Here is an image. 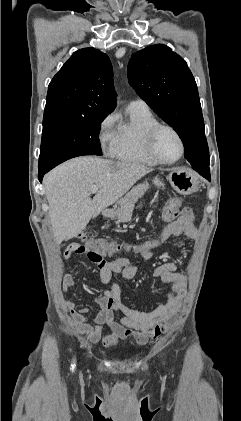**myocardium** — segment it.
<instances>
[{"mask_svg": "<svg viewBox=\"0 0 241 421\" xmlns=\"http://www.w3.org/2000/svg\"><path fill=\"white\" fill-rule=\"evenodd\" d=\"M161 130H169V131H171L176 136V138L179 141V144H180V153L177 156V158H175L174 160H171V161L163 160L158 155V153L156 151L155 141H156V137H157L158 133ZM145 145H146V149H147L148 153L150 154V156L157 163L162 164V165H172V164L178 162L183 157V155L185 153V144H184V140H183L181 134L178 132V130L176 128H174L173 126L168 125V124H160V123H158V124L154 125L153 127H151L149 129V131L147 132V134H146Z\"/></svg>", "mask_w": 241, "mask_h": 421, "instance_id": "f54148a6", "label": "myocardium"}]
</instances>
